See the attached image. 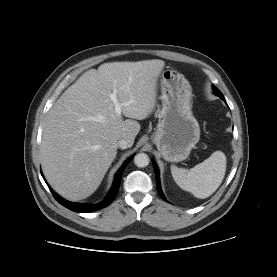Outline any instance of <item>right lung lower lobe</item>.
Returning <instances> with one entry per match:
<instances>
[{
	"mask_svg": "<svg viewBox=\"0 0 277 277\" xmlns=\"http://www.w3.org/2000/svg\"><path fill=\"white\" fill-rule=\"evenodd\" d=\"M132 158H133L132 156L129 157L126 160V162L121 166V168L118 170V172L115 175V180H114V183L112 185V188H111L109 194L102 202H100L96 205H84V204H77V203L69 202V201L63 199L62 197H60L58 194H56L50 187H49V189H50L51 193L53 194V196L55 197V199L61 205H63L64 207H66L72 211L86 213V212H93V211L99 210L101 208H104V207L110 205L113 202V200L115 199V197L118 193L119 187H120V182H121V177H122L123 171H124L125 167L127 166V164L132 160Z\"/></svg>",
	"mask_w": 277,
	"mask_h": 277,
	"instance_id": "obj_1",
	"label": "right lung lower lobe"
}]
</instances>
